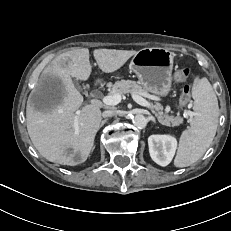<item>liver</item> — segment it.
Returning a JSON list of instances; mask_svg holds the SVG:
<instances>
[{
  "instance_id": "1",
  "label": "liver",
  "mask_w": 231,
  "mask_h": 231,
  "mask_svg": "<svg viewBox=\"0 0 231 231\" xmlns=\"http://www.w3.org/2000/svg\"><path fill=\"white\" fill-rule=\"evenodd\" d=\"M135 50L95 49L93 56L105 73L120 69ZM92 72L88 48H75L58 55L42 72L37 86L47 82L52 96L46 102L26 107L27 130L38 152L50 162L74 166L86 161L100 128L101 111L95 104L83 103L72 77L86 81ZM36 86V87H37ZM38 106L39 108H37ZM77 122V128H76ZM72 152L68 153V150Z\"/></svg>"
}]
</instances>
